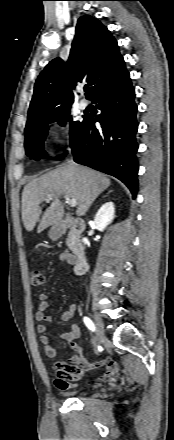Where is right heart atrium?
<instances>
[{
  "instance_id": "obj_1",
  "label": "right heart atrium",
  "mask_w": 174,
  "mask_h": 440,
  "mask_svg": "<svg viewBox=\"0 0 174 440\" xmlns=\"http://www.w3.org/2000/svg\"><path fill=\"white\" fill-rule=\"evenodd\" d=\"M65 136V127L61 121H54L48 132L49 140L52 144L56 145L62 142Z\"/></svg>"
}]
</instances>
